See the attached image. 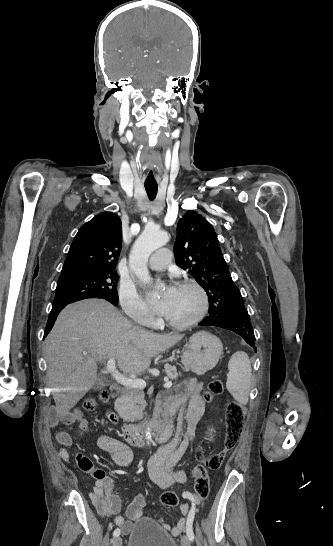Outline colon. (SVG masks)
<instances>
[{
    "label": "colon",
    "instance_id": "1",
    "mask_svg": "<svg viewBox=\"0 0 333 546\" xmlns=\"http://www.w3.org/2000/svg\"><path fill=\"white\" fill-rule=\"evenodd\" d=\"M223 392V384L219 380H213L209 383L208 389L204 392L202 398L206 402H210L215 396ZM99 399L102 402H107L110 399V394L107 390H102L99 393ZM97 401L95 398H88L84 401L83 407L87 411H92L96 408ZM245 410L238 402H231L225 412L226 433L223 447L211 454L205 455L201 446L197 449V458L200 464L192 470L194 477V496L197 502H203L209 494V470H218L227 454L237 445L244 425ZM161 503L165 507H175L178 504V496L172 491L165 492L161 495Z\"/></svg>",
    "mask_w": 333,
    "mask_h": 546
}]
</instances>
